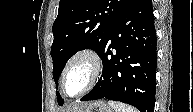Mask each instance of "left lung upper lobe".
<instances>
[{"label":"left lung upper lobe","mask_w":193,"mask_h":112,"mask_svg":"<svg viewBox=\"0 0 193 112\" xmlns=\"http://www.w3.org/2000/svg\"><path fill=\"white\" fill-rule=\"evenodd\" d=\"M133 0H60L58 16L53 23L51 47L53 78L57 82L68 59L83 49L97 54L107 37ZM59 105L64 100L57 92Z\"/></svg>","instance_id":"obj_1"}]
</instances>
